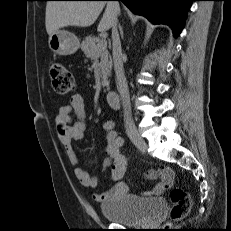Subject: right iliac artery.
I'll return each mask as SVG.
<instances>
[{
	"label": "right iliac artery",
	"instance_id": "1",
	"mask_svg": "<svg viewBox=\"0 0 231 231\" xmlns=\"http://www.w3.org/2000/svg\"><path fill=\"white\" fill-rule=\"evenodd\" d=\"M118 140H119L120 145L124 144V139L122 137H119Z\"/></svg>",
	"mask_w": 231,
	"mask_h": 231
}]
</instances>
